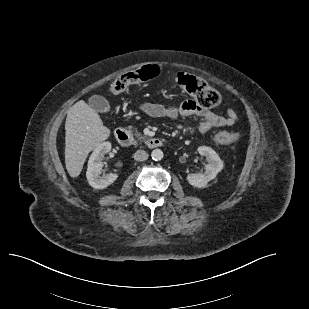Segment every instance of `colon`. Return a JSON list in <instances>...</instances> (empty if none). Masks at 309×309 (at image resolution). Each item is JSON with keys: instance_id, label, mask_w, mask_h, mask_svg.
I'll return each mask as SVG.
<instances>
[{"instance_id": "colon-1", "label": "colon", "mask_w": 309, "mask_h": 309, "mask_svg": "<svg viewBox=\"0 0 309 309\" xmlns=\"http://www.w3.org/2000/svg\"><path fill=\"white\" fill-rule=\"evenodd\" d=\"M160 74L158 65H147L140 69L130 71L120 75L109 86V93L117 95L127 89L129 86L152 80ZM177 84L187 91L195 101L202 107L212 108L221 101L220 93L206 82L197 79L194 76L178 74ZM238 133H222L218 136L221 143H232L239 139Z\"/></svg>"}]
</instances>
